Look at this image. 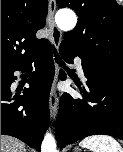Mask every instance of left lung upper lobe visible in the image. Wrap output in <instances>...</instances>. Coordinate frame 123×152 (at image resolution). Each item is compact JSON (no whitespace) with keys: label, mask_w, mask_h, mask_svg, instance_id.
Listing matches in <instances>:
<instances>
[{"label":"left lung upper lobe","mask_w":123,"mask_h":152,"mask_svg":"<svg viewBox=\"0 0 123 152\" xmlns=\"http://www.w3.org/2000/svg\"><path fill=\"white\" fill-rule=\"evenodd\" d=\"M79 19L62 44L98 67L123 71V8L115 0H57Z\"/></svg>","instance_id":"left-lung-upper-lobe-1"}]
</instances>
